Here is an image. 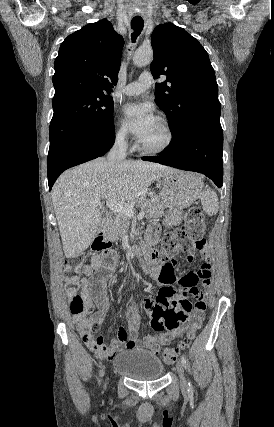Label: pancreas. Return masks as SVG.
Returning a JSON list of instances; mask_svg holds the SVG:
<instances>
[{"label":"pancreas","instance_id":"cf45deb5","mask_svg":"<svg viewBox=\"0 0 274 427\" xmlns=\"http://www.w3.org/2000/svg\"><path fill=\"white\" fill-rule=\"evenodd\" d=\"M136 204H138L137 208H141V212H144L146 219H153V217H159V215L164 214L165 204L159 202L158 196H150V200L148 198H138ZM129 219L130 217L124 214H115L114 219H107L104 225V237L116 241L122 235H126L129 229Z\"/></svg>","mask_w":274,"mask_h":427}]
</instances>
